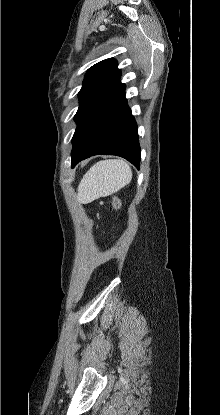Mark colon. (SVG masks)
Instances as JSON below:
<instances>
[{"label": "colon", "mask_w": 220, "mask_h": 415, "mask_svg": "<svg viewBox=\"0 0 220 415\" xmlns=\"http://www.w3.org/2000/svg\"><path fill=\"white\" fill-rule=\"evenodd\" d=\"M120 206H121V201H120V199H119V198H117V197H114V198L112 199V207H113V209L118 210V209L120 208Z\"/></svg>", "instance_id": "1"}]
</instances>
